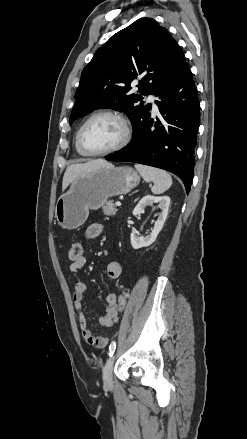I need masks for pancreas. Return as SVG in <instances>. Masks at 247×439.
Instances as JSON below:
<instances>
[{
  "mask_svg": "<svg viewBox=\"0 0 247 439\" xmlns=\"http://www.w3.org/2000/svg\"><path fill=\"white\" fill-rule=\"evenodd\" d=\"M103 213L107 216H114L116 215L117 209L113 204V201H107L106 204L102 207Z\"/></svg>",
  "mask_w": 247,
  "mask_h": 439,
  "instance_id": "1",
  "label": "pancreas"
}]
</instances>
